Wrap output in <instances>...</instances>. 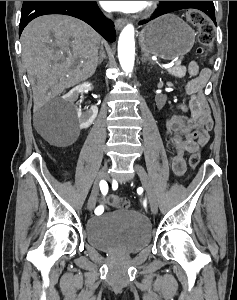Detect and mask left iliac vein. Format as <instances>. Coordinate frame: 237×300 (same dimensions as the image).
<instances>
[{
  "label": "left iliac vein",
  "instance_id": "left-iliac-vein-1",
  "mask_svg": "<svg viewBox=\"0 0 237 300\" xmlns=\"http://www.w3.org/2000/svg\"><path fill=\"white\" fill-rule=\"evenodd\" d=\"M134 168H135L137 175L141 179L142 187L146 191L147 198H148L149 204H150V208H151L152 212L156 213L157 212V200H156V196L154 193V189H153L150 179L148 177V174L145 171L144 167L141 166L140 164H135Z\"/></svg>",
  "mask_w": 237,
  "mask_h": 300
}]
</instances>
